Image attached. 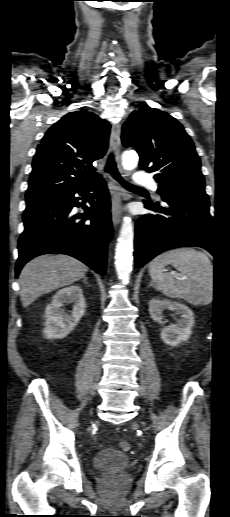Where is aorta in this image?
Listing matches in <instances>:
<instances>
[{"label":"aorta","mask_w":230,"mask_h":517,"mask_svg":"<svg viewBox=\"0 0 230 517\" xmlns=\"http://www.w3.org/2000/svg\"><path fill=\"white\" fill-rule=\"evenodd\" d=\"M139 157L135 151H125L122 154V165L126 171L136 168ZM134 229L132 219L125 216L116 245L115 267L118 278L123 284L129 283L133 260Z\"/></svg>","instance_id":"762f6f07"}]
</instances>
